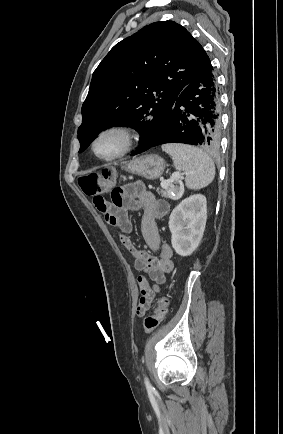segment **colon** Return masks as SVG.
<instances>
[{"mask_svg": "<svg viewBox=\"0 0 283 434\" xmlns=\"http://www.w3.org/2000/svg\"><path fill=\"white\" fill-rule=\"evenodd\" d=\"M115 173L112 169H105L101 173H89L81 175L78 179L81 190L87 196L95 197L112 187ZM168 311V299L159 297L151 314L144 319V331L152 333L160 325Z\"/></svg>", "mask_w": 283, "mask_h": 434, "instance_id": "5ec220e1", "label": "colon"}]
</instances>
